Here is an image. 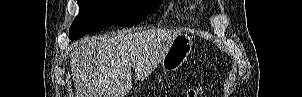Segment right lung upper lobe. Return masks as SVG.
<instances>
[{
    "instance_id": "obj_1",
    "label": "right lung upper lobe",
    "mask_w": 302,
    "mask_h": 97,
    "mask_svg": "<svg viewBox=\"0 0 302 97\" xmlns=\"http://www.w3.org/2000/svg\"><path fill=\"white\" fill-rule=\"evenodd\" d=\"M148 1H161V0H148Z\"/></svg>"
}]
</instances>
